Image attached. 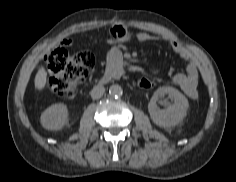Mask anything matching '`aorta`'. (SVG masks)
I'll list each match as a JSON object with an SVG mask.
<instances>
[{
    "label": "aorta",
    "instance_id": "aorta-1",
    "mask_svg": "<svg viewBox=\"0 0 236 182\" xmlns=\"http://www.w3.org/2000/svg\"><path fill=\"white\" fill-rule=\"evenodd\" d=\"M109 94L113 97H120L123 94V90L120 85L114 84L110 86Z\"/></svg>",
    "mask_w": 236,
    "mask_h": 182
}]
</instances>
